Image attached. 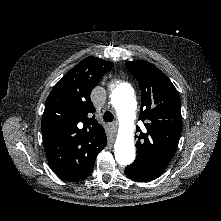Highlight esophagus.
Masks as SVG:
<instances>
[{
    "instance_id": "esophagus-1",
    "label": "esophagus",
    "mask_w": 221,
    "mask_h": 221,
    "mask_svg": "<svg viewBox=\"0 0 221 221\" xmlns=\"http://www.w3.org/2000/svg\"><path fill=\"white\" fill-rule=\"evenodd\" d=\"M111 129H112L113 133H116L117 129H118V123L117 122L111 123Z\"/></svg>"
}]
</instances>
